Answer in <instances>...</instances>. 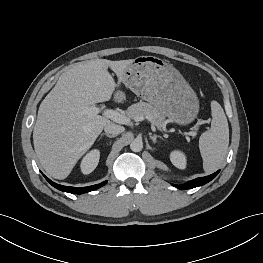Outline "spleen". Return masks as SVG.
<instances>
[{
	"label": "spleen",
	"mask_w": 263,
	"mask_h": 263,
	"mask_svg": "<svg viewBox=\"0 0 263 263\" xmlns=\"http://www.w3.org/2000/svg\"><path fill=\"white\" fill-rule=\"evenodd\" d=\"M211 115V128L202 133L199 139L203 169L206 173H213L221 166L229 145L228 121L217 101L211 102Z\"/></svg>",
	"instance_id": "1"
}]
</instances>
